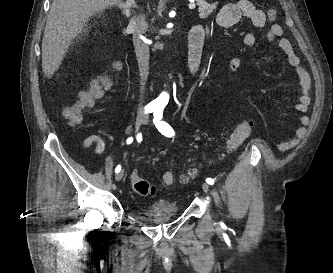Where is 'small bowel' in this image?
I'll return each instance as SVG.
<instances>
[{
	"mask_svg": "<svg viewBox=\"0 0 333 273\" xmlns=\"http://www.w3.org/2000/svg\"><path fill=\"white\" fill-rule=\"evenodd\" d=\"M246 17L250 20L251 24L256 28H263L266 25V17L264 11L257 9L248 0H238L233 3L225 5L218 13L216 24L218 27L229 28L237 25L241 17ZM203 27V26H202ZM268 38L270 41L278 39L279 47L287 55L289 64L295 69L301 87V100L298 105V110L304 112L309 103V89H308V74L306 70L300 65V59L293 51L290 42L283 37V30L279 24L273 23L268 30ZM243 42L246 46H253L256 43V37L253 33L247 32L243 36ZM242 64L239 57H234L230 60L229 69L233 75L238 73ZM307 117H302V122H306ZM252 125L253 122L249 121ZM303 133V129L298 127L296 134L293 138L287 140L282 144L283 149L293 148ZM91 146L95 147V153L102 155L105 152L106 144L102 137L98 134H91L83 141L82 147L88 149Z\"/></svg>",
	"mask_w": 333,
	"mask_h": 273,
	"instance_id": "obj_1",
	"label": "small bowel"
}]
</instances>
